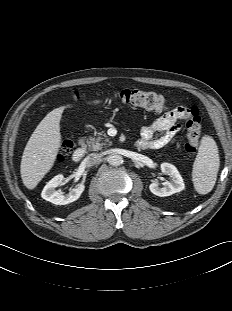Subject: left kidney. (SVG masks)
I'll return each mask as SVG.
<instances>
[{
  "label": "left kidney",
  "instance_id": "left-kidney-1",
  "mask_svg": "<svg viewBox=\"0 0 232 311\" xmlns=\"http://www.w3.org/2000/svg\"><path fill=\"white\" fill-rule=\"evenodd\" d=\"M161 171L164 174L169 175L171 181L164 182L162 188L159 187L157 183H151L149 189L154 195L165 197L184 190L185 184L183 178L174 165L170 163H162Z\"/></svg>",
  "mask_w": 232,
  "mask_h": 311
}]
</instances>
